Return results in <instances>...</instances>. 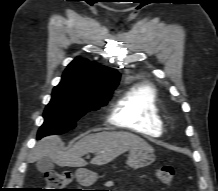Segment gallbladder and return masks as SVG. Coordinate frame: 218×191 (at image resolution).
I'll return each instance as SVG.
<instances>
[{
  "label": "gallbladder",
  "instance_id": "obj_1",
  "mask_svg": "<svg viewBox=\"0 0 218 191\" xmlns=\"http://www.w3.org/2000/svg\"><path fill=\"white\" fill-rule=\"evenodd\" d=\"M36 168L39 172H49L54 168L53 161L48 157H42L37 160Z\"/></svg>",
  "mask_w": 218,
  "mask_h": 191
}]
</instances>
